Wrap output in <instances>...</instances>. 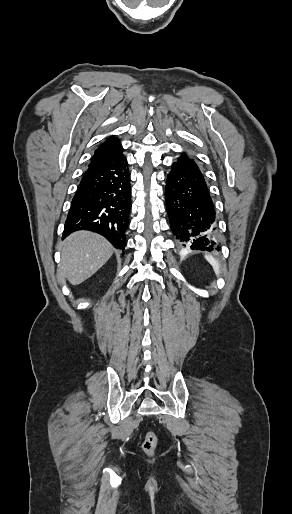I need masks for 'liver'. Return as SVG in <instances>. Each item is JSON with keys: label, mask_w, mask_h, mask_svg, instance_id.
<instances>
[{"label": "liver", "mask_w": 292, "mask_h": 514, "mask_svg": "<svg viewBox=\"0 0 292 514\" xmlns=\"http://www.w3.org/2000/svg\"><path fill=\"white\" fill-rule=\"evenodd\" d=\"M59 272L72 286L91 278L111 258L114 248L108 240L93 232H74L61 242Z\"/></svg>", "instance_id": "1"}]
</instances>
